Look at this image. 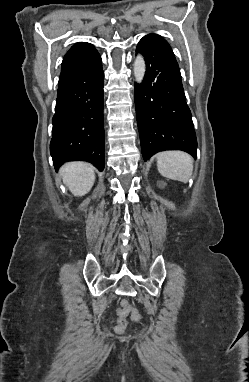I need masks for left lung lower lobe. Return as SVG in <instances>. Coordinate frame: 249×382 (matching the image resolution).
Instances as JSON below:
<instances>
[{"mask_svg": "<svg viewBox=\"0 0 249 382\" xmlns=\"http://www.w3.org/2000/svg\"><path fill=\"white\" fill-rule=\"evenodd\" d=\"M136 52L146 62L144 80L135 84L144 160L164 150H182L196 158L197 139L175 56L147 37L139 41Z\"/></svg>", "mask_w": 249, "mask_h": 382, "instance_id": "1", "label": "left lung lower lobe"}]
</instances>
